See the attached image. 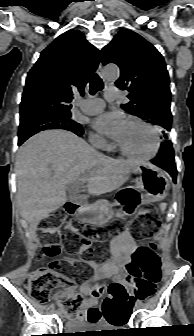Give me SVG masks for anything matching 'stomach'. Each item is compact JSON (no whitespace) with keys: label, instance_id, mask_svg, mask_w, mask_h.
Masks as SVG:
<instances>
[{"label":"stomach","instance_id":"stomach-1","mask_svg":"<svg viewBox=\"0 0 194 336\" xmlns=\"http://www.w3.org/2000/svg\"><path fill=\"white\" fill-rule=\"evenodd\" d=\"M138 174L136 186L127 188L118 195L127 213H134L141 205L163 200L168 191L167 178L153 165L142 162L133 170ZM112 214L111 207L103 204L99 208H82L76 213L79 220L104 225Z\"/></svg>","mask_w":194,"mask_h":336}]
</instances>
